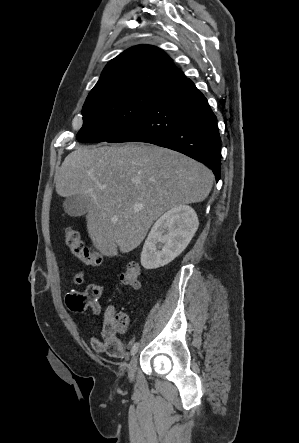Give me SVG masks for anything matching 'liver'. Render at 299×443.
<instances>
[{"mask_svg":"<svg viewBox=\"0 0 299 443\" xmlns=\"http://www.w3.org/2000/svg\"><path fill=\"white\" fill-rule=\"evenodd\" d=\"M213 179L205 165L158 146H79L64 159L56 192L91 198L89 237L103 255L116 256L139 246L165 211L205 200Z\"/></svg>","mask_w":299,"mask_h":443,"instance_id":"obj_1","label":"liver"}]
</instances>
